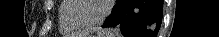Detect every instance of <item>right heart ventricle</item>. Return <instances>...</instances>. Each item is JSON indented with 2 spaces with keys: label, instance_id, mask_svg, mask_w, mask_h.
<instances>
[{
  "label": "right heart ventricle",
  "instance_id": "obj_1",
  "mask_svg": "<svg viewBox=\"0 0 219 37\" xmlns=\"http://www.w3.org/2000/svg\"><path fill=\"white\" fill-rule=\"evenodd\" d=\"M71 7V3L68 0L60 1L58 6V19L59 28L62 34L73 33L81 28L74 26L66 17V13Z\"/></svg>",
  "mask_w": 219,
  "mask_h": 37
}]
</instances>
